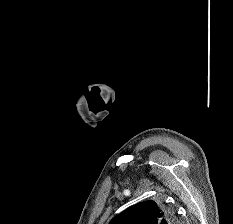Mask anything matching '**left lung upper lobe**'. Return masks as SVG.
<instances>
[{"instance_id":"1","label":"left lung upper lobe","mask_w":233,"mask_h":224,"mask_svg":"<svg viewBox=\"0 0 233 224\" xmlns=\"http://www.w3.org/2000/svg\"><path fill=\"white\" fill-rule=\"evenodd\" d=\"M109 224H176V215L163 202L149 200L124 210Z\"/></svg>"}]
</instances>
